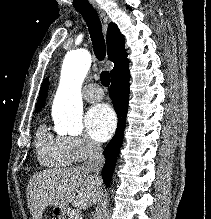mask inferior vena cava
Here are the masks:
<instances>
[{"label":"inferior vena cava","mask_w":211,"mask_h":219,"mask_svg":"<svg viewBox=\"0 0 211 219\" xmlns=\"http://www.w3.org/2000/svg\"><path fill=\"white\" fill-rule=\"evenodd\" d=\"M89 160L87 163V170L94 173V178L97 181V186L101 185L102 179L100 177V171L105 163L102 148L99 144H89Z\"/></svg>","instance_id":"1"}]
</instances>
